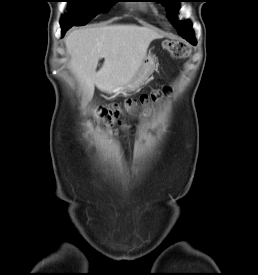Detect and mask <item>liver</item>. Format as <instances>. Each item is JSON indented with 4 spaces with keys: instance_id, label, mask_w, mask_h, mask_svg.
<instances>
[{
    "instance_id": "1",
    "label": "liver",
    "mask_w": 258,
    "mask_h": 275,
    "mask_svg": "<svg viewBox=\"0 0 258 275\" xmlns=\"http://www.w3.org/2000/svg\"><path fill=\"white\" fill-rule=\"evenodd\" d=\"M155 30L134 24L86 27L65 37L69 68L83 89L84 102L92 99L95 86L113 93L126 86L139 70ZM102 67L96 71L100 59Z\"/></svg>"
}]
</instances>
